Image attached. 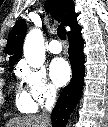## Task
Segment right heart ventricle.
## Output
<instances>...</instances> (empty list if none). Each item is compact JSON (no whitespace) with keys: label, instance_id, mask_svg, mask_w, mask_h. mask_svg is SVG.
I'll use <instances>...</instances> for the list:
<instances>
[{"label":"right heart ventricle","instance_id":"right-heart-ventricle-1","mask_svg":"<svg viewBox=\"0 0 108 127\" xmlns=\"http://www.w3.org/2000/svg\"><path fill=\"white\" fill-rule=\"evenodd\" d=\"M16 106L22 113H34L37 110V105L33 102L30 95H28L24 90L21 88L17 89L16 92Z\"/></svg>","mask_w":108,"mask_h":127}]
</instances>
